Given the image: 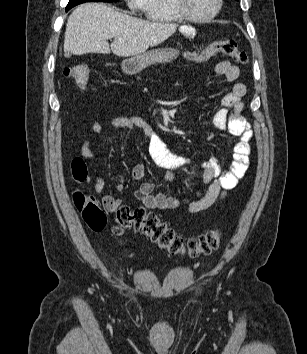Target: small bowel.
I'll return each instance as SVG.
<instances>
[{"label": "small bowel", "mask_w": 307, "mask_h": 354, "mask_svg": "<svg viewBox=\"0 0 307 354\" xmlns=\"http://www.w3.org/2000/svg\"><path fill=\"white\" fill-rule=\"evenodd\" d=\"M195 36V29L183 31V38H194ZM215 70L218 75L231 82L236 81L239 77V68L229 61L218 63ZM245 93V85L239 82L235 83L231 90L221 99L222 107L212 117V123L217 129L227 130L230 134L239 138L234 147L230 168L226 172H222L219 161L215 158L194 162L189 158L173 154L167 149L164 140L153 127L139 117H116L111 120L110 125L117 129L141 131L147 138V148L150 155L158 165L169 170L166 180H173L174 172L184 168L194 167L201 171L206 191L203 195L199 192L197 199L186 201L188 212L194 214L208 209L218 199L224 198L227 191L235 188L247 171L252 131L249 123L242 115L244 106L242 98ZM229 110H231V113H229ZM105 128V124L100 121L92 124V130L97 134L102 133ZM80 153L86 159L95 157V153L87 141L81 144ZM145 175L146 168L144 165L139 164L132 168L131 177L134 181L143 179ZM121 187L122 180L118 185V188ZM104 188V179L97 178L94 183L95 192L101 194ZM153 189V183L143 182L136 189L135 198L141 201L148 209L172 210L180 206L181 201L178 198L163 193L153 194ZM103 204L107 209L113 210L121 204V201L107 195L103 198Z\"/></svg>", "instance_id": "small-bowel-1"}]
</instances>
